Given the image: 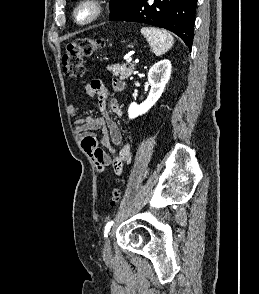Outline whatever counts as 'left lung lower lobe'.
Instances as JSON below:
<instances>
[{
    "label": "left lung lower lobe",
    "instance_id": "0a47b994",
    "mask_svg": "<svg viewBox=\"0 0 259 294\" xmlns=\"http://www.w3.org/2000/svg\"><path fill=\"white\" fill-rule=\"evenodd\" d=\"M197 0H136L111 21H128L165 28L191 48Z\"/></svg>",
    "mask_w": 259,
    "mask_h": 294
}]
</instances>
